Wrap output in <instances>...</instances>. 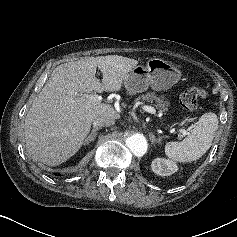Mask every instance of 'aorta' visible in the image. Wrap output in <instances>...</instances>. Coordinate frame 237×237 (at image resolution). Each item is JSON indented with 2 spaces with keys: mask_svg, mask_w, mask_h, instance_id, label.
<instances>
[{
  "mask_svg": "<svg viewBox=\"0 0 237 237\" xmlns=\"http://www.w3.org/2000/svg\"><path fill=\"white\" fill-rule=\"evenodd\" d=\"M127 147L136 156H142L147 150V141L141 134H132L126 139Z\"/></svg>",
  "mask_w": 237,
  "mask_h": 237,
  "instance_id": "aorta-1",
  "label": "aorta"
}]
</instances>
